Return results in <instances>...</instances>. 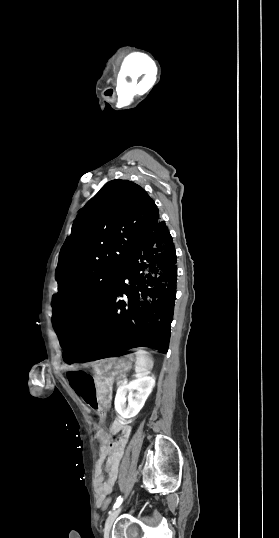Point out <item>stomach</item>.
<instances>
[{"label": "stomach", "instance_id": "0dacf381", "mask_svg": "<svg viewBox=\"0 0 279 538\" xmlns=\"http://www.w3.org/2000/svg\"><path fill=\"white\" fill-rule=\"evenodd\" d=\"M131 353H112L110 358H101L97 363L95 376L100 382L97 384V398L104 408L111 403L110 393L113 389L111 382L119 381V374H125L131 368Z\"/></svg>", "mask_w": 279, "mask_h": 538}]
</instances>
